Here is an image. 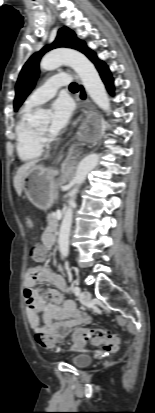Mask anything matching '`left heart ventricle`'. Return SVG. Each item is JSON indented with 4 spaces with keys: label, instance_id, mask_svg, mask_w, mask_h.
<instances>
[{
    "label": "left heart ventricle",
    "instance_id": "1",
    "mask_svg": "<svg viewBox=\"0 0 155 413\" xmlns=\"http://www.w3.org/2000/svg\"><path fill=\"white\" fill-rule=\"evenodd\" d=\"M37 130L40 131V132H42V133H45L46 130H47V126L39 127V128H37Z\"/></svg>",
    "mask_w": 155,
    "mask_h": 413
}]
</instances>
